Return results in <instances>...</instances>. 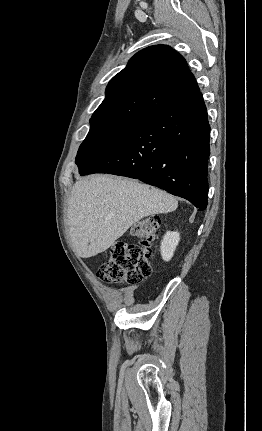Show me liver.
I'll return each instance as SVG.
<instances>
[{"instance_id":"obj_1","label":"liver","mask_w":262,"mask_h":431,"mask_svg":"<svg viewBox=\"0 0 262 431\" xmlns=\"http://www.w3.org/2000/svg\"><path fill=\"white\" fill-rule=\"evenodd\" d=\"M172 195L128 178L96 175L77 181L68 200V228L74 253L104 252L133 224L176 210Z\"/></svg>"}]
</instances>
